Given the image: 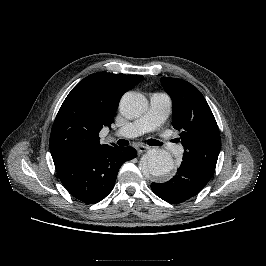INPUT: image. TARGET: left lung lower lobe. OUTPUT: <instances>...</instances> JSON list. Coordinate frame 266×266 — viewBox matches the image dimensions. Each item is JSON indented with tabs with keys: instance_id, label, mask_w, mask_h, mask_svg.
<instances>
[{
	"instance_id": "1",
	"label": "left lung lower lobe",
	"mask_w": 266,
	"mask_h": 266,
	"mask_svg": "<svg viewBox=\"0 0 266 266\" xmlns=\"http://www.w3.org/2000/svg\"><path fill=\"white\" fill-rule=\"evenodd\" d=\"M212 175L205 174L182 162L177 174L165 183H152V191L169 203H181L198 194Z\"/></svg>"
}]
</instances>
